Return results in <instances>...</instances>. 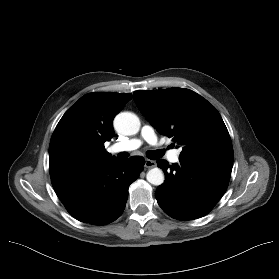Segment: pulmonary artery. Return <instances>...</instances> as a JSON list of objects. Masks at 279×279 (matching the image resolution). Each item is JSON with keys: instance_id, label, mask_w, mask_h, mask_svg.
<instances>
[{"instance_id": "e3ab8cb5", "label": "pulmonary artery", "mask_w": 279, "mask_h": 279, "mask_svg": "<svg viewBox=\"0 0 279 279\" xmlns=\"http://www.w3.org/2000/svg\"><path fill=\"white\" fill-rule=\"evenodd\" d=\"M146 141L150 145H157V136L152 126L144 125L141 129L140 136L138 138H132L122 143H117L111 146L110 151H132L139 148L143 142ZM180 150L176 149L168 154V159L171 163H177L179 161Z\"/></svg>"}]
</instances>
